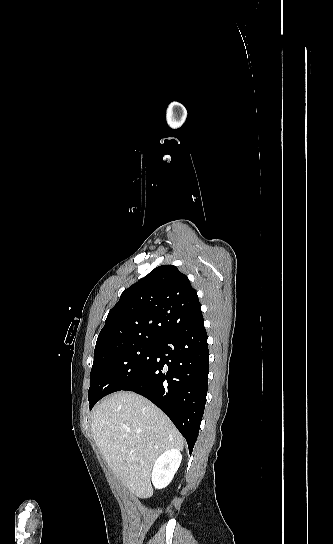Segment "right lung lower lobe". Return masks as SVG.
<instances>
[{
    "label": "right lung lower lobe",
    "mask_w": 333,
    "mask_h": 544,
    "mask_svg": "<svg viewBox=\"0 0 333 544\" xmlns=\"http://www.w3.org/2000/svg\"><path fill=\"white\" fill-rule=\"evenodd\" d=\"M203 316L158 340L153 359L121 390L136 392L159 407L185 437L189 453L205 408L209 350Z\"/></svg>",
    "instance_id": "1"
}]
</instances>
